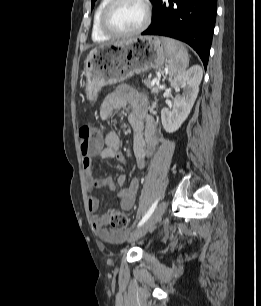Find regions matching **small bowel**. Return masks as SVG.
Segmentation results:
<instances>
[{
    "mask_svg": "<svg viewBox=\"0 0 261 306\" xmlns=\"http://www.w3.org/2000/svg\"><path fill=\"white\" fill-rule=\"evenodd\" d=\"M130 105L132 108L128 116L129 124L133 130V152L138 167H143L146 159L150 156L158 142L154 119L147 112L146 97L133 90L129 86L121 85L104 99L100 108V117L106 121L115 112ZM104 148L99 152L102 159H114L120 163L125 162V156L120 151L121 138L116 131H108L104 137ZM86 170V189L89 194L87 207L93 214L92 225L96 234L109 243H122L128 234L124 230H109L106 228L109 216H97L99 200L93 195L98 189H107L115 194V198L125 210H131L134 206V198L139 189V179H131L128 186H125L126 176L121 174L117 177V184L120 187L115 191V184L111 177L94 178V158L88 156L83 159Z\"/></svg>",
    "mask_w": 261,
    "mask_h": 306,
    "instance_id": "1",
    "label": "small bowel"
}]
</instances>
